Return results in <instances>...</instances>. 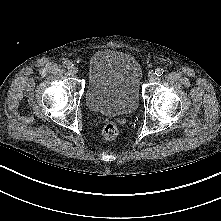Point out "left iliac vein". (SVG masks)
Segmentation results:
<instances>
[{
	"mask_svg": "<svg viewBox=\"0 0 221 221\" xmlns=\"http://www.w3.org/2000/svg\"><path fill=\"white\" fill-rule=\"evenodd\" d=\"M148 79H149L150 81H154V80L156 79V74H155L154 72H150V73L148 74Z\"/></svg>",
	"mask_w": 221,
	"mask_h": 221,
	"instance_id": "left-iliac-vein-1",
	"label": "left iliac vein"
}]
</instances>
